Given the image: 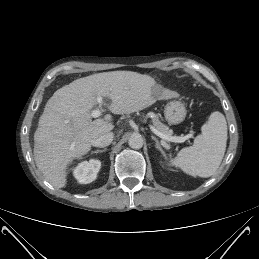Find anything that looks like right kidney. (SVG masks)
<instances>
[{
	"label": "right kidney",
	"instance_id": "obj_1",
	"mask_svg": "<svg viewBox=\"0 0 259 259\" xmlns=\"http://www.w3.org/2000/svg\"><path fill=\"white\" fill-rule=\"evenodd\" d=\"M100 168L101 162L97 159L83 161L75 167L73 175L79 183L88 184L96 179Z\"/></svg>",
	"mask_w": 259,
	"mask_h": 259
}]
</instances>
